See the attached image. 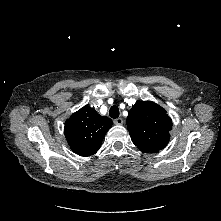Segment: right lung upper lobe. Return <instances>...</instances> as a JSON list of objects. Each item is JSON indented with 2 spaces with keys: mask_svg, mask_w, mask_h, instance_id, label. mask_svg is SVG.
Segmentation results:
<instances>
[{
  "mask_svg": "<svg viewBox=\"0 0 221 221\" xmlns=\"http://www.w3.org/2000/svg\"><path fill=\"white\" fill-rule=\"evenodd\" d=\"M112 121L85 105L66 120L64 134L72 151L80 156L95 154Z\"/></svg>",
  "mask_w": 221,
  "mask_h": 221,
  "instance_id": "right-lung-upper-lobe-1",
  "label": "right lung upper lobe"
}]
</instances>
